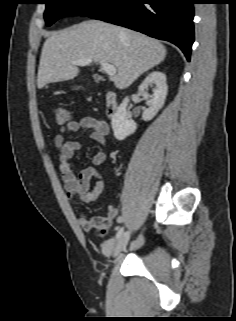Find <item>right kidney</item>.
Returning a JSON list of instances; mask_svg holds the SVG:
<instances>
[{"label":"right kidney","mask_w":236,"mask_h":321,"mask_svg":"<svg viewBox=\"0 0 236 321\" xmlns=\"http://www.w3.org/2000/svg\"><path fill=\"white\" fill-rule=\"evenodd\" d=\"M152 84L155 85V88L153 89V95L150 96L147 91ZM138 90L149 106L144 110L142 119L150 121L164 105L167 96L166 75L160 71L151 72L140 84ZM128 103L129 97H125L112 118L111 126L117 140H124L137 129L136 123L131 120L127 112Z\"/></svg>","instance_id":"obj_1"}]
</instances>
